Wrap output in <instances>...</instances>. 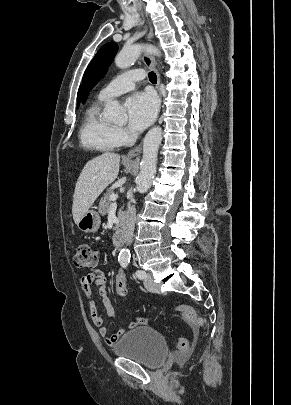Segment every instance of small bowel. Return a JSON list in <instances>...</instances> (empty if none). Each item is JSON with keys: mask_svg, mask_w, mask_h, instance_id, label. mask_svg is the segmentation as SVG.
Listing matches in <instances>:
<instances>
[{"mask_svg": "<svg viewBox=\"0 0 291 405\" xmlns=\"http://www.w3.org/2000/svg\"><path fill=\"white\" fill-rule=\"evenodd\" d=\"M81 289L86 297L87 306L91 321L98 328V333L104 338L108 345H113L126 332L124 329L117 330L114 334L108 335V329L104 325L102 315L99 313L95 300L92 295L93 284L98 286V293L102 299V304L109 317L114 315V307L107 292V276L103 270H96L90 274L82 276L80 280ZM142 317H137L136 320L129 324V329L144 324Z\"/></svg>", "mask_w": 291, "mask_h": 405, "instance_id": "c3829d8e", "label": "small bowel"}]
</instances>
